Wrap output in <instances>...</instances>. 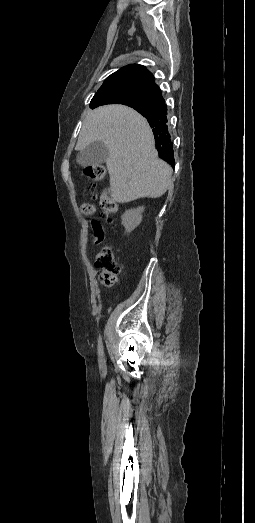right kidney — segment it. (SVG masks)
<instances>
[{
  "instance_id": "obj_1",
  "label": "right kidney",
  "mask_w": 255,
  "mask_h": 523,
  "mask_svg": "<svg viewBox=\"0 0 255 523\" xmlns=\"http://www.w3.org/2000/svg\"><path fill=\"white\" fill-rule=\"evenodd\" d=\"M144 208L143 206H140V208H135V210H126L124 212L122 218V224L126 230V232H133L139 224L142 222V212Z\"/></svg>"
}]
</instances>
